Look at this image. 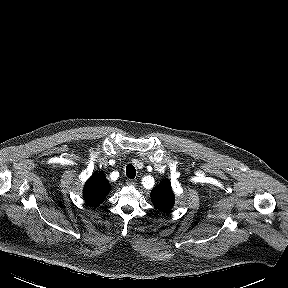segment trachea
Here are the masks:
<instances>
[{
  "label": "trachea",
  "instance_id": "obj_1",
  "mask_svg": "<svg viewBox=\"0 0 288 288\" xmlns=\"http://www.w3.org/2000/svg\"><path fill=\"white\" fill-rule=\"evenodd\" d=\"M126 175L128 178L133 179L136 176L135 167L132 164L126 166Z\"/></svg>",
  "mask_w": 288,
  "mask_h": 288
}]
</instances>
